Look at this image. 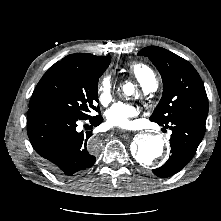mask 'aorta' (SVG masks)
Masks as SVG:
<instances>
[{
  "instance_id": "1",
  "label": "aorta",
  "mask_w": 221,
  "mask_h": 221,
  "mask_svg": "<svg viewBox=\"0 0 221 221\" xmlns=\"http://www.w3.org/2000/svg\"><path fill=\"white\" fill-rule=\"evenodd\" d=\"M125 94L132 95L134 86L131 83L124 85ZM135 150L133 157L135 161L144 167L151 166L153 162L160 158L165 150V142L159 135L142 134L135 139Z\"/></svg>"
}]
</instances>
